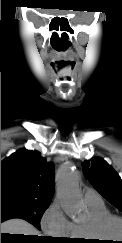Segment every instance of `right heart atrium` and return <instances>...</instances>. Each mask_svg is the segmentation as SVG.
Masks as SVG:
<instances>
[{"mask_svg":"<svg viewBox=\"0 0 122 243\" xmlns=\"http://www.w3.org/2000/svg\"><path fill=\"white\" fill-rule=\"evenodd\" d=\"M72 223L58 201L53 202L41 219L42 230L52 237L67 238L71 234Z\"/></svg>","mask_w":122,"mask_h":243,"instance_id":"1","label":"right heart atrium"}]
</instances>
